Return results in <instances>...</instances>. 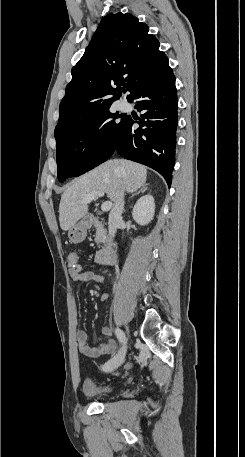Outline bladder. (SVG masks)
Listing matches in <instances>:
<instances>
[{"instance_id":"obj_1","label":"bladder","mask_w":245,"mask_h":457,"mask_svg":"<svg viewBox=\"0 0 245 457\" xmlns=\"http://www.w3.org/2000/svg\"><path fill=\"white\" fill-rule=\"evenodd\" d=\"M110 388L108 386H99L93 381L84 383V397L97 398L108 396Z\"/></svg>"}]
</instances>
